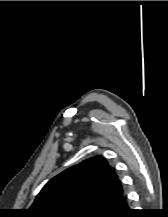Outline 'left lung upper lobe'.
I'll use <instances>...</instances> for the list:
<instances>
[{
	"label": "left lung upper lobe",
	"mask_w": 168,
	"mask_h": 217,
	"mask_svg": "<svg viewBox=\"0 0 168 217\" xmlns=\"http://www.w3.org/2000/svg\"><path fill=\"white\" fill-rule=\"evenodd\" d=\"M122 192L115 169L94 157L52 178L28 211L32 217H99Z\"/></svg>",
	"instance_id": "1"
}]
</instances>
